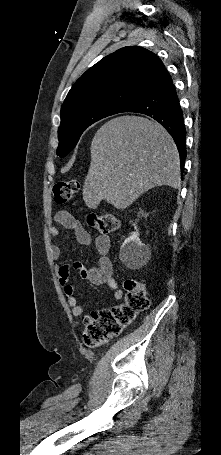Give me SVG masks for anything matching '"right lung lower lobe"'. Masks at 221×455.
<instances>
[{
  "instance_id": "right-lung-lower-lobe-1",
  "label": "right lung lower lobe",
  "mask_w": 221,
  "mask_h": 455,
  "mask_svg": "<svg viewBox=\"0 0 221 455\" xmlns=\"http://www.w3.org/2000/svg\"><path fill=\"white\" fill-rule=\"evenodd\" d=\"M123 112L148 115L158 121L172 136L180 154L181 173L186 158V129L176 90L164 69L147 92Z\"/></svg>"
}]
</instances>
